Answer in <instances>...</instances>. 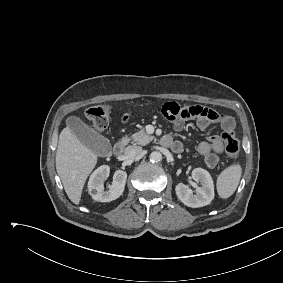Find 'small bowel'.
<instances>
[{
    "label": "small bowel",
    "instance_id": "obj_1",
    "mask_svg": "<svg viewBox=\"0 0 283 283\" xmlns=\"http://www.w3.org/2000/svg\"><path fill=\"white\" fill-rule=\"evenodd\" d=\"M162 114L173 124L176 131H182L189 120H195L201 130H207L212 125H218L222 131H231L235 127V121L229 115L199 105L180 106L175 102H168L163 105ZM128 118L129 113L125 114L122 120L127 121ZM165 138L169 141L168 147L173 151L183 150L180 141L174 140L170 135ZM197 151L203 157L206 166L214 168L219 162L218 155L223 152L222 140L218 135H210L206 141L199 143Z\"/></svg>",
    "mask_w": 283,
    "mask_h": 283
}]
</instances>
